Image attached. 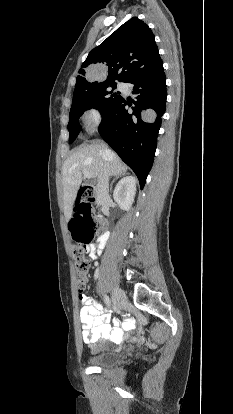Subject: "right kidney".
I'll return each mask as SVG.
<instances>
[{
    "label": "right kidney",
    "instance_id": "right-kidney-1",
    "mask_svg": "<svg viewBox=\"0 0 233 414\" xmlns=\"http://www.w3.org/2000/svg\"><path fill=\"white\" fill-rule=\"evenodd\" d=\"M136 194V179L133 176L122 178L116 185L113 198L118 206L125 211H129Z\"/></svg>",
    "mask_w": 233,
    "mask_h": 414
}]
</instances>
